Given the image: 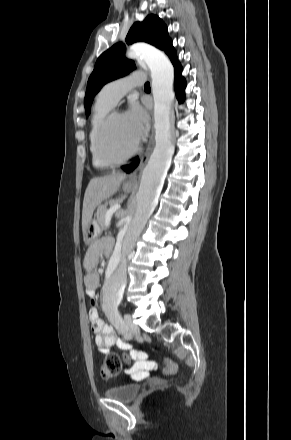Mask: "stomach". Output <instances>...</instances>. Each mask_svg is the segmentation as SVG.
Returning a JSON list of instances; mask_svg holds the SVG:
<instances>
[{"instance_id":"stomach-1","label":"stomach","mask_w":291,"mask_h":440,"mask_svg":"<svg viewBox=\"0 0 291 440\" xmlns=\"http://www.w3.org/2000/svg\"><path fill=\"white\" fill-rule=\"evenodd\" d=\"M133 189H134L133 187L128 186L127 184L123 185V190L127 193L131 192ZM99 232H100V228L96 220L90 221L89 225L83 232L85 243L92 242L98 236Z\"/></svg>"}]
</instances>
